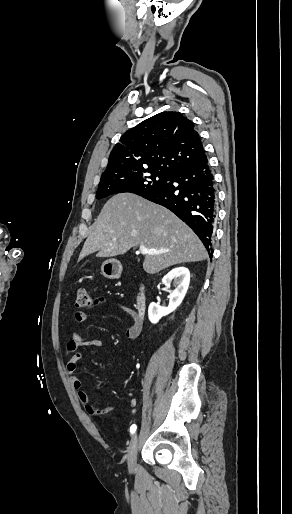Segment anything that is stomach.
Wrapping results in <instances>:
<instances>
[{
	"label": "stomach",
	"mask_w": 292,
	"mask_h": 514,
	"mask_svg": "<svg viewBox=\"0 0 292 514\" xmlns=\"http://www.w3.org/2000/svg\"><path fill=\"white\" fill-rule=\"evenodd\" d=\"M101 274L109 280H116L122 274V264L119 260H106L101 266Z\"/></svg>",
	"instance_id": "stomach-1"
}]
</instances>
